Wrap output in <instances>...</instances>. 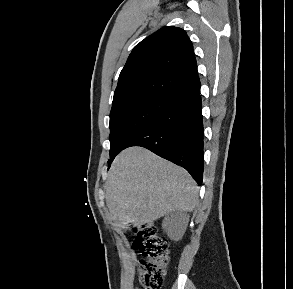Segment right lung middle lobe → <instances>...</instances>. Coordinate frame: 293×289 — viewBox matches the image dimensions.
<instances>
[{
	"mask_svg": "<svg viewBox=\"0 0 293 289\" xmlns=\"http://www.w3.org/2000/svg\"><path fill=\"white\" fill-rule=\"evenodd\" d=\"M174 105L159 96H134L113 104L110 113V158Z\"/></svg>",
	"mask_w": 293,
	"mask_h": 289,
	"instance_id": "1",
	"label": "right lung middle lobe"
}]
</instances>
